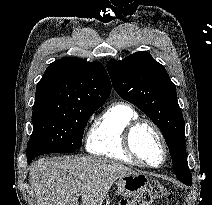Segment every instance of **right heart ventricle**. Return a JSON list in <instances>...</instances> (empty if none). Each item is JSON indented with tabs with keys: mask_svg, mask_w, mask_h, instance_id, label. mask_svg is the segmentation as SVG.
I'll return each instance as SVG.
<instances>
[{
	"mask_svg": "<svg viewBox=\"0 0 212 205\" xmlns=\"http://www.w3.org/2000/svg\"><path fill=\"white\" fill-rule=\"evenodd\" d=\"M137 119L139 115L132 106L123 102L111 104L91 125L86 139L87 151L125 163L138 164L124 146L125 131Z\"/></svg>",
	"mask_w": 212,
	"mask_h": 205,
	"instance_id": "right-heart-ventricle-1",
	"label": "right heart ventricle"
}]
</instances>
